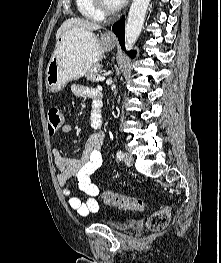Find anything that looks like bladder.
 I'll return each mask as SVG.
<instances>
[{"label":"bladder","mask_w":221,"mask_h":263,"mask_svg":"<svg viewBox=\"0 0 221 263\" xmlns=\"http://www.w3.org/2000/svg\"><path fill=\"white\" fill-rule=\"evenodd\" d=\"M106 224L117 231H125L130 227V224L125 220H112L106 222Z\"/></svg>","instance_id":"obj_1"}]
</instances>
